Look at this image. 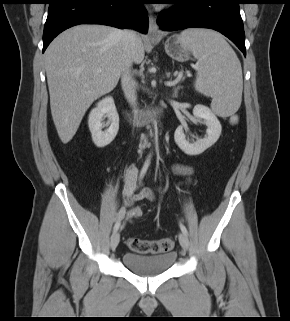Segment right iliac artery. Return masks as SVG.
Segmentation results:
<instances>
[{"mask_svg":"<svg viewBox=\"0 0 290 321\" xmlns=\"http://www.w3.org/2000/svg\"><path fill=\"white\" fill-rule=\"evenodd\" d=\"M150 161H151V155H149L140 171V175H139V179H142L144 177V175L146 174L147 170H148V167L150 165ZM136 181H137V178H136ZM120 224H121V220H120V217L118 219V221L115 223L114 225V228H113V231L116 232L119 227H120Z\"/></svg>","mask_w":290,"mask_h":321,"instance_id":"right-iliac-artery-1","label":"right iliac artery"}]
</instances>
